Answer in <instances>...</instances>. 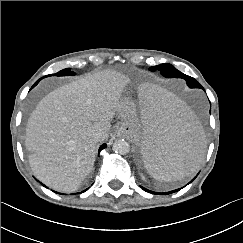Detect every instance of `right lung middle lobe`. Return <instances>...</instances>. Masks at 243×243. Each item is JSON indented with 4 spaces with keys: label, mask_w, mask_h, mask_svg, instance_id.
Here are the masks:
<instances>
[{
    "label": "right lung middle lobe",
    "mask_w": 243,
    "mask_h": 243,
    "mask_svg": "<svg viewBox=\"0 0 243 243\" xmlns=\"http://www.w3.org/2000/svg\"><path fill=\"white\" fill-rule=\"evenodd\" d=\"M52 75H55V76H69V75H74V72H71L70 68H67V69H63V70L59 71L56 74H50L48 76H52Z\"/></svg>",
    "instance_id": "obj_1"
}]
</instances>
